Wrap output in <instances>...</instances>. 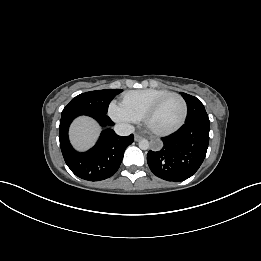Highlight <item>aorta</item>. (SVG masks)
<instances>
[{"instance_id":"1","label":"aorta","mask_w":261,"mask_h":261,"mask_svg":"<svg viewBox=\"0 0 261 261\" xmlns=\"http://www.w3.org/2000/svg\"><path fill=\"white\" fill-rule=\"evenodd\" d=\"M150 146V143L146 139H142L139 141V148L142 150H147Z\"/></svg>"}]
</instances>
